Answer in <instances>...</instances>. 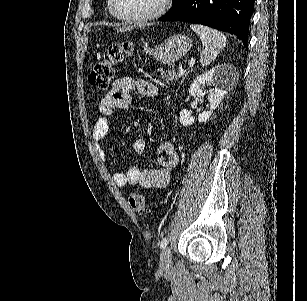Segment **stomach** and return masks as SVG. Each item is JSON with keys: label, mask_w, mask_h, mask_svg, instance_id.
<instances>
[{"label": "stomach", "mask_w": 307, "mask_h": 301, "mask_svg": "<svg viewBox=\"0 0 307 301\" xmlns=\"http://www.w3.org/2000/svg\"><path fill=\"white\" fill-rule=\"evenodd\" d=\"M193 44V40L186 34H174L166 38L165 42L155 44V46H144L146 54L154 56L158 62L164 64H175L182 56L187 54Z\"/></svg>", "instance_id": "obj_1"}]
</instances>
